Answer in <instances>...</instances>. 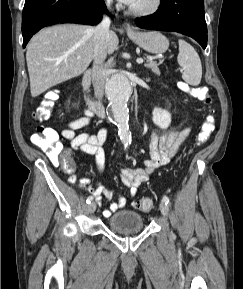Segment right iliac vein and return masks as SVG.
<instances>
[{
	"instance_id": "obj_1",
	"label": "right iliac vein",
	"mask_w": 243,
	"mask_h": 289,
	"mask_svg": "<svg viewBox=\"0 0 243 289\" xmlns=\"http://www.w3.org/2000/svg\"><path fill=\"white\" fill-rule=\"evenodd\" d=\"M96 209V203L95 202H91L89 205H88V211L90 213H93Z\"/></svg>"
}]
</instances>
